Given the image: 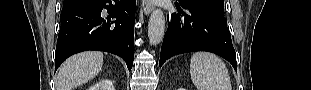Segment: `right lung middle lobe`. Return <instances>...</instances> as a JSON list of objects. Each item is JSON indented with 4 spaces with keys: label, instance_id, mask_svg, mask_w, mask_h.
<instances>
[{
    "label": "right lung middle lobe",
    "instance_id": "right-lung-middle-lobe-1",
    "mask_svg": "<svg viewBox=\"0 0 311 90\" xmlns=\"http://www.w3.org/2000/svg\"><path fill=\"white\" fill-rule=\"evenodd\" d=\"M75 1H76V0H64L63 6H66V5H68V4H71V3L75 2Z\"/></svg>",
    "mask_w": 311,
    "mask_h": 90
}]
</instances>
